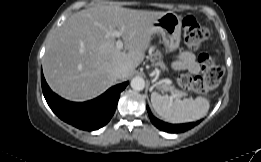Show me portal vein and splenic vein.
Masks as SVG:
<instances>
[{
	"label": "portal vein and splenic vein",
	"instance_id": "1",
	"mask_svg": "<svg viewBox=\"0 0 261 162\" xmlns=\"http://www.w3.org/2000/svg\"><path fill=\"white\" fill-rule=\"evenodd\" d=\"M109 34L112 35V36H115L116 38H118V40L116 41V48H117L118 50H121V49L123 48V42H122L121 39H119L120 36H121V33H120L118 30H114V31H112V32H109ZM160 83L171 84L172 81H171V80H168V79H163V80H160V81H159V84H160ZM173 96H174V97H177V96L180 97V96H182V94L178 93V92L175 90V91H173Z\"/></svg>",
	"mask_w": 261,
	"mask_h": 162
}]
</instances>
